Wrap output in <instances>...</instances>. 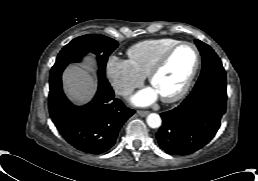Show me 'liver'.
I'll return each instance as SVG.
<instances>
[{
  "label": "liver",
  "mask_w": 258,
  "mask_h": 181,
  "mask_svg": "<svg viewBox=\"0 0 258 181\" xmlns=\"http://www.w3.org/2000/svg\"><path fill=\"white\" fill-rule=\"evenodd\" d=\"M88 65L93 61L87 59ZM64 90L67 96L77 104L88 102L96 91V79L88 69L76 65L69 66L63 74Z\"/></svg>",
  "instance_id": "liver-1"
}]
</instances>
